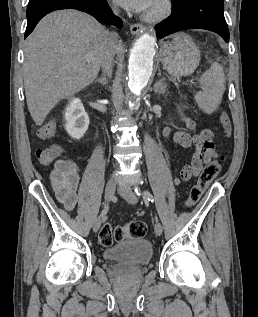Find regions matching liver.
Segmentation results:
<instances>
[{"label": "liver", "mask_w": 258, "mask_h": 317, "mask_svg": "<svg viewBox=\"0 0 258 317\" xmlns=\"http://www.w3.org/2000/svg\"><path fill=\"white\" fill-rule=\"evenodd\" d=\"M109 30L79 10L46 14L25 40L24 86L29 112L42 124L61 98L96 78ZM122 50V42L118 44Z\"/></svg>", "instance_id": "obj_1"}]
</instances>
